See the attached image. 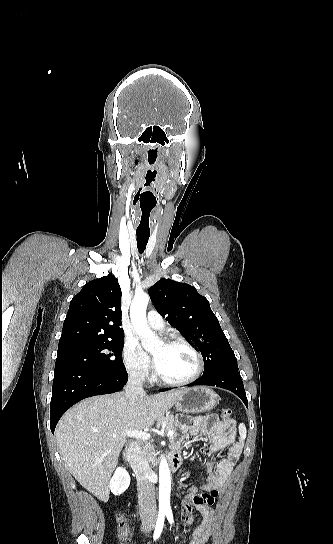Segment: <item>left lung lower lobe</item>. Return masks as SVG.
<instances>
[{
  "instance_id": "obj_1",
  "label": "left lung lower lobe",
  "mask_w": 333,
  "mask_h": 544,
  "mask_svg": "<svg viewBox=\"0 0 333 544\" xmlns=\"http://www.w3.org/2000/svg\"><path fill=\"white\" fill-rule=\"evenodd\" d=\"M195 385H209L217 386L227 390L232 391L236 394L248 407V400L244 390V385L241 380V376L238 372V369L234 368H223L210 372L209 374L203 375L201 378L191 383L188 386ZM169 389H162L161 391H168Z\"/></svg>"
}]
</instances>
